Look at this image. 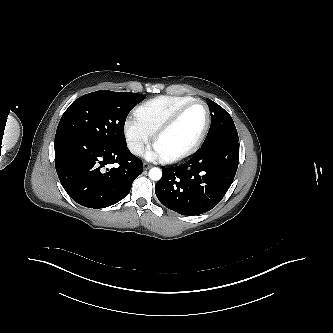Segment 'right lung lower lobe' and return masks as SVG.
I'll list each match as a JSON object with an SVG mask.
<instances>
[{
  "instance_id": "98d812e1",
  "label": "right lung lower lobe",
  "mask_w": 333,
  "mask_h": 333,
  "mask_svg": "<svg viewBox=\"0 0 333 333\" xmlns=\"http://www.w3.org/2000/svg\"><path fill=\"white\" fill-rule=\"evenodd\" d=\"M54 149L55 167L63 188L85 207L100 209L114 205L128 195L134 179L142 173V161L126 145H106L61 135L55 137Z\"/></svg>"
}]
</instances>
